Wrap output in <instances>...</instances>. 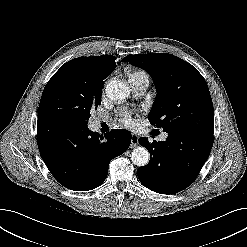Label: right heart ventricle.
Here are the masks:
<instances>
[{"label": "right heart ventricle", "instance_id": "right-heart-ventricle-1", "mask_svg": "<svg viewBox=\"0 0 247 247\" xmlns=\"http://www.w3.org/2000/svg\"><path fill=\"white\" fill-rule=\"evenodd\" d=\"M141 74H146V73L143 72V71L134 70V71H131V72H130L129 78L134 77V76H137V75H141Z\"/></svg>", "mask_w": 247, "mask_h": 247}]
</instances>
